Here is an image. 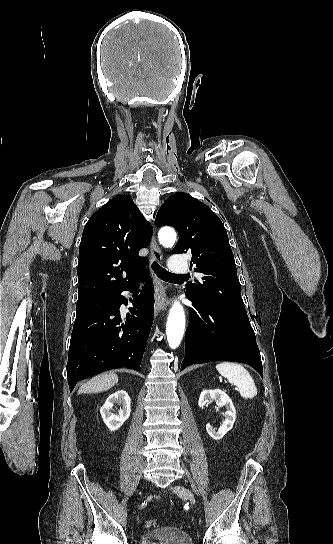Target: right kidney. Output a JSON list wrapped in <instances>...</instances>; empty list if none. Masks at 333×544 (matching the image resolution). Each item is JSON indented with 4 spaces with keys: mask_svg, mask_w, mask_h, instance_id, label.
Masks as SVG:
<instances>
[{
    "mask_svg": "<svg viewBox=\"0 0 333 544\" xmlns=\"http://www.w3.org/2000/svg\"><path fill=\"white\" fill-rule=\"evenodd\" d=\"M114 404L120 406L118 414L111 412ZM130 404V397L124 390H118L109 395L104 405L100 408V413L104 423L111 431L118 430L129 418L131 412Z\"/></svg>",
    "mask_w": 333,
    "mask_h": 544,
    "instance_id": "ca27d5eb",
    "label": "right kidney"
}]
</instances>
